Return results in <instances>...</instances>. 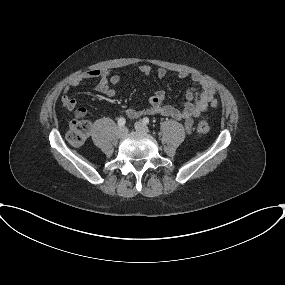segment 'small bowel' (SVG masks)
<instances>
[{
	"label": "small bowel",
	"instance_id": "small-bowel-1",
	"mask_svg": "<svg viewBox=\"0 0 285 285\" xmlns=\"http://www.w3.org/2000/svg\"><path fill=\"white\" fill-rule=\"evenodd\" d=\"M139 71L144 75H149L152 72V68L149 65L144 64L139 67ZM156 76L160 79L164 78L166 76V70L158 68L156 70ZM178 77L180 79H189L194 83V86L187 90L186 102L181 108L164 104L165 93L163 91H157L150 97L148 105L145 108H128L124 110L123 113L130 118L157 114L170 116L174 119L183 121L187 132L190 133L194 120L202 113L206 112L210 107H215L217 105L215 89L209 80L200 75L182 71L178 74ZM95 78L98 79V83L95 87L96 91L109 98L115 97L116 90L113 87L120 83V76L111 75L107 70L93 69L78 74L69 81L64 88L61 97L64 107L69 111L75 110L77 116H85L86 110L82 107L77 108V102L70 96L69 92L72 88L77 87L81 83Z\"/></svg>",
	"mask_w": 285,
	"mask_h": 285
}]
</instances>
